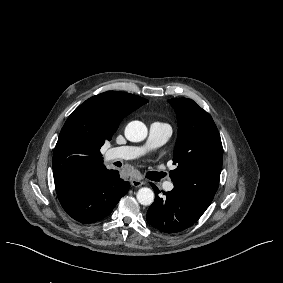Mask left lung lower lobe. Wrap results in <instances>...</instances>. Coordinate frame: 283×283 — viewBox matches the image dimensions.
Wrapping results in <instances>:
<instances>
[{
  "instance_id": "left-lung-lower-lobe-1",
  "label": "left lung lower lobe",
  "mask_w": 283,
  "mask_h": 283,
  "mask_svg": "<svg viewBox=\"0 0 283 283\" xmlns=\"http://www.w3.org/2000/svg\"><path fill=\"white\" fill-rule=\"evenodd\" d=\"M155 201L147 211L146 220L154 228L165 233H176L192 226L209 207V203L176 186L166 197L160 198V191L151 184Z\"/></svg>"
}]
</instances>
